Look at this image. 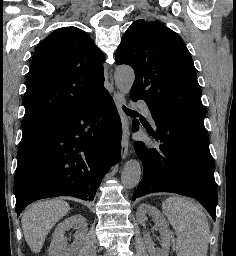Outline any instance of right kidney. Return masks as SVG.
<instances>
[{
    "mask_svg": "<svg viewBox=\"0 0 236 256\" xmlns=\"http://www.w3.org/2000/svg\"><path fill=\"white\" fill-rule=\"evenodd\" d=\"M70 228H76L77 232L74 234L75 240L72 246L68 248L67 238H65L64 234L68 232ZM87 230L86 218L80 216V214H76V216H71V218L60 222V224L56 226L52 236L53 240L48 250L49 256H79L80 250L85 242Z\"/></svg>",
    "mask_w": 236,
    "mask_h": 256,
    "instance_id": "ca27d5eb",
    "label": "right kidney"
}]
</instances>
